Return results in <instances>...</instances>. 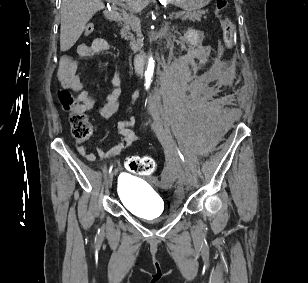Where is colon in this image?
<instances>
[{
    "instance_id": "obj_1",
    "label": "colon",
    "mask_w": 308,
    "mask_h": 283,
    "mask_svg": "<svg viewBox=\"0 0 308 283\" xmlns=\"http://www.w3.org/2000/svg\"><path fill=\"white\" fill-rule=\"evenodd\" d=\"M227 0H217L216 13L221 21L223 40L227 48L231 49L235 41V26L227 14ZM94 31L92 24H87L84 29L85 35ZM59 102L66 112L70 113L71 134L78 140H86L92 134V125L87 115L79 110V100L68 91L58 92ZM128 170L139 175H150L156 168L155 161L149 156H132L126 161Z\"/></svg>"
}]
</instances>
